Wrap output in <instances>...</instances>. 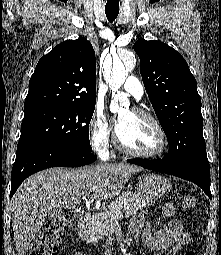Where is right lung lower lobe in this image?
<instances>
[{"label": "right lung lower lobe", "instance_id": "98d812e1", "mask_svg": "<svg viewBox=\"0 0 221 255\" xmlns=\"http://www.w3.org/2000/svg\"><path fill=\"white\" fill-rule=\"evenodd\" d=\"M96 160L92 151L62 147L32 140L19 141L12 169L10 197L30 175L50 167H78Z\"/></svg>", "mask_w": 221, "mask_h": 255}]
</instances>
